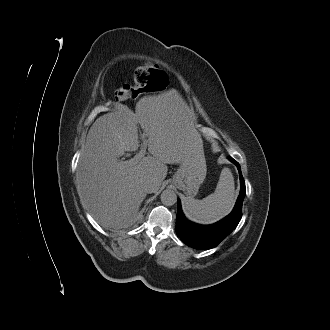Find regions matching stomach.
I'll return each instance as SVG.
<instances>
[{
  "label": "stomach",
  "instance_id": "obj_1",
  "mask_svg": "<svg viewBox=\"0 0 330 330\" xmlns=\"http://www.w3.org/2000/svg\"><path fill=\"white\" fill-rule=\"evenodd\" d=\"M206 160L203 149L188 155L181 161L172 183L187 196L194 197L206 177Z\"/></svg>",
  "mask_w": 330,
  "mask_h": 330
}]
</instances>
